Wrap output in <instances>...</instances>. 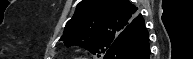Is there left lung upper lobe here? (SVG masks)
Listing matches in <instances>:
<instances>
[{
	"mask_svg": "<svg viewBox=\"0 0 193 59\" xmlns=\"http://www.w3.org/2000/svg\"><path fill=\"white\" fill-rule=\"evenodd\" d=\"M140 17L129 0H82L60 39L67 47L81 46L100 57Z\"/></svg>",
	"mask_w": 193,
	"mask_h": 59,
	"instance_id": "left-lung-upper-lobe-1",
	"label": "left lung upper lobe"
}]
</instances>
